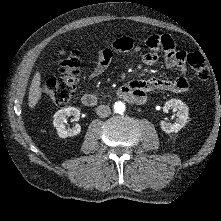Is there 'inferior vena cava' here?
Instances as JSON below:
<instances>
[{"label":"inferior vena cava","instance_id":"obj_1","mask_svg":"<svg viewBox=\"0 0 221 221\" xmlns=\"http://www.w3.org/2000/svg\"><path fill=\"white\" fill-rule=\"evenodd\" d=\"M96 113L100 118H105L111 114V109L107 105H100L96 108Z\"/></svg>","mask_w":221,"mask_h":221}]
</instances>
